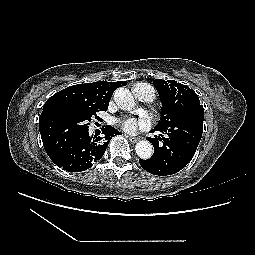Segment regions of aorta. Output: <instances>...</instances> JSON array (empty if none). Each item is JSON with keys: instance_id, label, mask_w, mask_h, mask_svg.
Wrapping results in <instances>:
<instances>
[{"instance_id": "1", "label": "aorta", "mask_w": 255, "mask_h": 255, "mask_svg": "<svg viewBox=\"0 0 255 255\" xmlns=\"http://www.w3.org/2000/svg\"><path fill=\"white\" fill-rule=\"evenodd\" d=\"M113 97L118 107L123 110H131L135 106L133 95L128 89L124 87L117 88ZM135 150L137 155L144 160L150 159L153 155V147L147 140H141L137 142Z\"/></svg>"}]
</instances>
